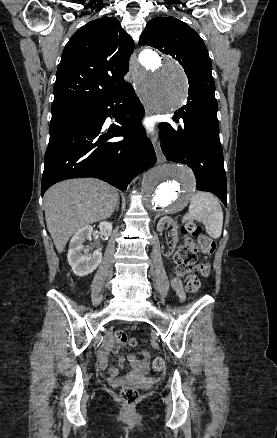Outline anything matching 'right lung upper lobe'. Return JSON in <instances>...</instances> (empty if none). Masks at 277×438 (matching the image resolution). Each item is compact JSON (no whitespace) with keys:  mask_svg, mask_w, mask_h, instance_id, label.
<instances>
[{"mask_svg":"<svg viewBox=\"0 0 277 438\" xmlns=\"http://www.w3.org/2000/svg\"><path fill=\"white\" fill-rule=\"evenodd\" d=\"M134 49L131 37L115 17L95 19L66 44L56 73L51 112L86 109L122 88ZM78 63L79 66H72Z\"/></svg>","mask_w":277,"mask_h":438,"instance_id":"1","label":"right lung upper lobe"}]
</instances>
